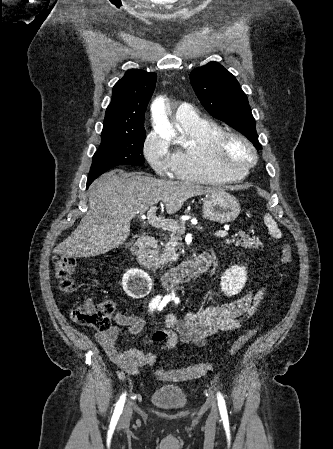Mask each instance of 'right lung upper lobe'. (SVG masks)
<instances>
[{
  "label": "right lung upper lobe",
  "instance_id": "1",
  "mask_svg": "<svg viewBox=\"0 0 333 449\" xmlns=\"http://www.w3.org/2000/svg\"><path fill=\"white\" fill-rule=\"evenodd\" d=\"M156 78L155 73L140 69L127 71L113 87L102 133L137 134L144 129V115Z\"/></svg>",
  "mask_w": 333,
  "mask_h": 449
}]
</instances>
